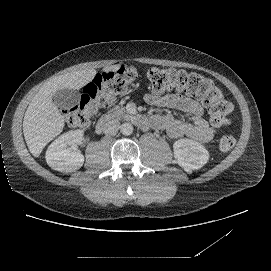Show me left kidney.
<instances>
[{
    "label": "left kidney",
    "mask_w": 271,
    "mask_h": 271,
    "mask_svg": "<svg viewBox=\"0 0 271 271\" xmlns=\"http://www.w3.org/2000/svg\"><path fill=\"white\" fill-rule=\"evenodd\" d=\"M177 164L185 171L200 169L209 160V152L199 142L191 139H179L173 144Z\"/></svg>",
    "instance_id": "5707ae66"
}]
</instances>
